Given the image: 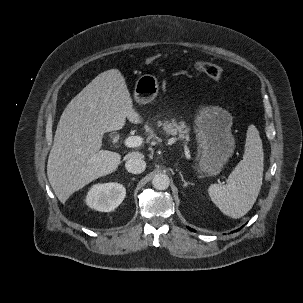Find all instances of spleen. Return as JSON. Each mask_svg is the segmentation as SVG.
Instances as JSON below:
<instances>
[{"label":"spleen","mask_w":303,"mask_h":303,"mask_svg":"<svg viewBox=\"0 0 303 303\" xmlns=\"http://www.w3.org/2000/svg\"><path fill=\"white\" fill-rule=\"evenodd\" d=\"M263 158L259 131L250 125L243 159L229 175L225 185L212 184L208 188L211 200L225 215L241 218L253 207L262 186Z\"/></svg>","instance_id":"obj_1"}]
</instances>
